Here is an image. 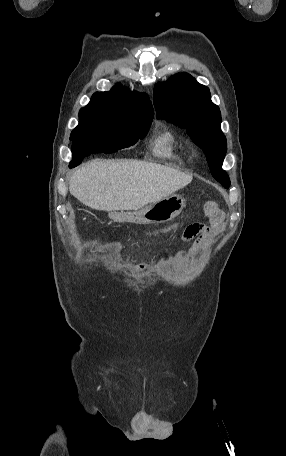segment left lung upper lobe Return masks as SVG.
Masks as SVG:
<instances>
[{"mask_svg": "<svg viewBox=\"0 0 286 456\" xmlns=\"http://www.w3.org/2000/svg\"><path fill=\"white\" fill-rule=\"evenodd\" d=\"M154 106L157 118L186 129L205 153L213 177L229 188V176L222 169L226 137L220 128L219 107L211 101L208 87L187 73L176 74L154 87Z\"/></svg>", "mask_w": 286, "mask_h": 456, "instance_id": "left-lung-upper-lobe-1", "label": "left lung upper lobe"}]
</instances>
